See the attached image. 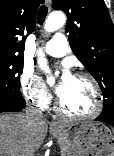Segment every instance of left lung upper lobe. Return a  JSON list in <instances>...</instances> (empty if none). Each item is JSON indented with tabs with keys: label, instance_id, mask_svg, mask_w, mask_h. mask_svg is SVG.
<instances>
[{
	"label": "left lung upper lobe",
	"instance_id": "5c2ea615",
	"mask_svg": "<svg viewBox=\"0 0 114 156\" xmlns=\"http://www.w3.org/2000/svg\"><path fill=\"white\" fill-rule=\"evenodd\" d=\"M52 2L67 15L65 30L73 53L101 88V114L114 115V24L104 0Z\"/></svg>",
	"mask_w": 114,
	"mask_h": 156
}]
</instances>
